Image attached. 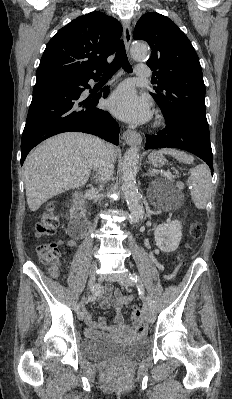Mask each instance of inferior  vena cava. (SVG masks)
Here are the masks:
<instances>
[{
    "label": "inferior vena cava",
    "mask_w": 232,
    "mask_h": 399,
    "mask_svg": "<svg viewBox=\"0 0 232 399\" xmlns=\"http://www.w3.org/2000/svg\"><path fill=\"white\" fill-rule=\"evenodd\" d=\"M102 150H100L99 158L97 160V164L94 166V170L98 172V176L100 178V184H106L108 180H111L114 172V158L113 154L107 150V144L102 142Z\"/></svg>",
    "instance_id": "602c4592"
}]
</instances>
